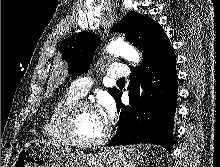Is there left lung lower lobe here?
Wrapping results in <instances>:
<instances>
[{
	"label": "left lung lower lobe",
	"mask_w": 220,
	"mask_h": 167,
	"mask_svg": "<svg viewBox=\"0 0 220 167\" xmlns=\"http://www.w3.org/2000/svg\"><path fill=\"white\" fill-rule=\"evenodd\" d=\"M175 63L172 49L131 67L129 104L121 103L119 92L115 98L118 129L107 146L154 143L172 150L178 87Z\"/></svg>",
	"instance_id": "0a47b994"
}]
</instances>
